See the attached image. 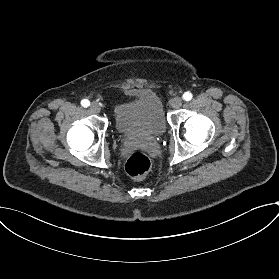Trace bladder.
Returning <instances> with one entry per match:
<instances>
[{
	"instance_id": "31cf9c89",
	"label": "bladder",
	"mask_w": 279,
	"mask_h": 279,
	"mask_svg": "<svg viewBox=\"0 0 279 279\" xmlns=\"http://www.w3.org/2000/svg\"><path fill=\"white\" fill-rule=\"evenodd\" d=\"M115 128L122 138L157 137L167 131L168 122L159 97L152 91L139 90L116 102L112 109Z\"/></svg>"
}]
</instances>
